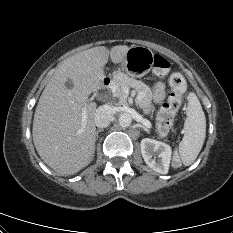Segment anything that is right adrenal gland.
I'll return each mask as SVG.
<instances>
[{
  "mask_svg": "<svg viewBox=\"0 0 233 233\" xmlns=\"http://www.w3.org/2000/svg\"><path fill=\"white\" fill-rule=\"evenodd\" d=\"M100 132H103V129H98V130L96 131V138H97V139L99 138L98 134H99Z\"/></svg>",
  "mask_w": 233,
  "mask_h": 233,
  "instance_id": "obj_1",
  "label": "right adrenal gland"
}]
</instances>
